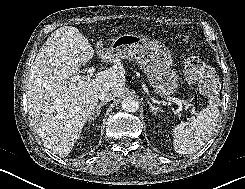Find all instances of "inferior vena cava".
<instances>
[{"label": "inferior vena cava", "mask_w": 245, "mask_h": 189, "mask_svg": "<svg viewBox=\"0 0 245 189\" xmlns=\"http://www.w3.org/2000/svg\"><path fill=\"white\" fill-rule=\"evenodd\" d=\"M115 97H116L115 93L112 92V91L109 90V89H103L102 91H100V93H99V95H98V98H99L101 101H104V102L111 101V100H113Z\"/></svg>", "instance_id": "inferior-vena-cava-1"}]
</instances>
